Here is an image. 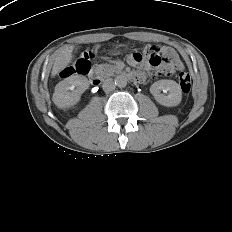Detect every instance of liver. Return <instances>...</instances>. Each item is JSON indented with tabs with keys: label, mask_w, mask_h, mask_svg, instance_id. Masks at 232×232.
<instances>
[{
	"label": "liver",
	"mask_w": 232,
	"mask_h": 232,
	"mask_svg": "<svg viewBox=\"0 0 232 232\" xmlns=\"http://www.w3.org/2000/svg\"><path fill=\"white\" fill-rule=\"evenodd\" d=\"M74 46H66L55 58L51 76L55 77L62 69L68 66L73 59Z\"/></svg>",
	"instance_id": "6515ba94"
}]
</instances>
